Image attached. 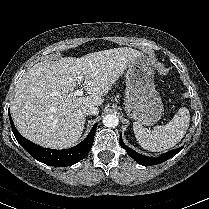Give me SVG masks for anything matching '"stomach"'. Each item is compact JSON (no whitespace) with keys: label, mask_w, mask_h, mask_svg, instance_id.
<instances>
[{"label":"stomach","mask_w":209,"mask_h":209,"mask_svg":"<svg viewBox=\"0 0 209 209\" xmlns=\"http://www.w3.org/2000/svg\"><path fill=\"white\" fill-rule=\"evenodd\" d=\"M124 108L141 125H153L161 119L164 108L155 89L151 60L144 54L128 65Z\"/></svg>","instance_id":"stomach-1"}]
</instances>
